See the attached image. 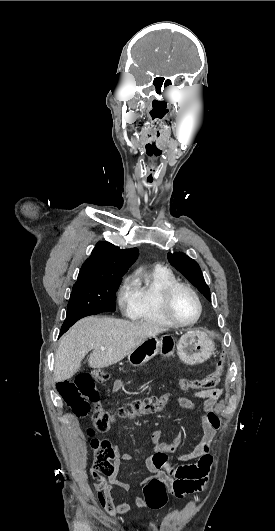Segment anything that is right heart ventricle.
I'll return each instance as SVG.
<instances>
[{
    "label": "right heart ventricle",
    "mask_w": 275,
    "mask_h": 531,
    "mask_svg": "<svg viewBox=\"0 0 275 531\" xmlns=\"http://www.w3.org/2000/svg\"><path fill=\"white\" fill-rule=\"evenodd\" d=\"M176 282L175 276L165 270H156L138 285V305L132 318L139 322L161 327H175L164 315L161 307V297L166 286Z\"/></svg>",
    "instance_id": "e07e8e85"
}]
</instances>
